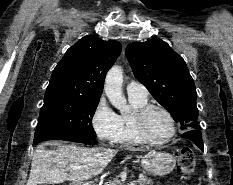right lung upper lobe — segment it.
<instances>
[{
	"instance_id": "obj_1",
	"label": "right lung upper lobe",
	"mask_w": 233,
	"mask_h": 185,
	"mask_svg": "<svg viewBox=\"0 0 233 185\" xmlns=\"http://www.w3.org/2000/svg\"><path fill=\"white\" fill-rule=\"evenodd\" d=\"M118 41L88 35L70 47L55 67L46 93L100 98L105 76L121 52Z\"/></svg>"
}]
</instances>
